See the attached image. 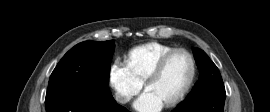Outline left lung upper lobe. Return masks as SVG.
Masks as SVG:
<instances>
[{
    "instance_id": "5c2ea615",
    "label": "left lung upper lobe",
    "mask_w": 270,
    "mask_h": 112,
    "mask_svg": "<svg viewBox=\"0 0 270 112\" xmlns=\"http://www.w3.org/2000/svg\"><path fill=\"white\" fill-rule=\"evenodd\" d=\"M193 53L197 66L200 69V77L185 101L199 98L212 87L224 86L218 68L210 60L207 54L199 48H194Z\"/></svg>"
}]
</instances>
